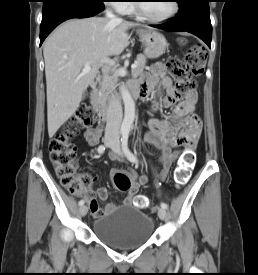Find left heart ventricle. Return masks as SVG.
Masks as SVG:
<instances>
[{
  "label": "left heart ventricle",
  "instance_id": "left-heart-ventricle-1",
  "mask_svg": "<svg viewBox=\"0 0 258 275\" xmlns=\"http://www.w3.org/2000/svg\"><path fill=\"white\" fill-rule=\"evenodd\" d=\"M148 3H142L146 13L152 17L160 18L170 14L173 10L172 1H145Z\"/></svg>",
  "mask_w": 258,
  "mask_h": 275
}]
</instances>
